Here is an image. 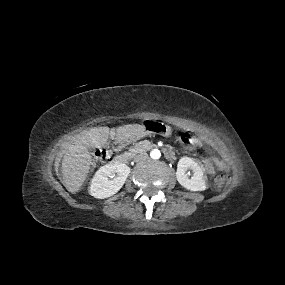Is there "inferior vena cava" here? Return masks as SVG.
Here are the masks:
<instances>
[{"label":"inferior vena cava","mask_w":285,"mask_h":285,"mask_svg":"<svg viewBox=\"0 0 285 285\" xmlns=\"http://www.w3.org/2000/svg\"><path fill=\"white\" fill-rule=\"evenodd\" d=\"M147 159H148V154L145 152L139 153L138 155H136L134 157L135 162H141V161H145Z\"/></svg>","instance_id":"inferior-vena-cava-1"}]
</instances>
